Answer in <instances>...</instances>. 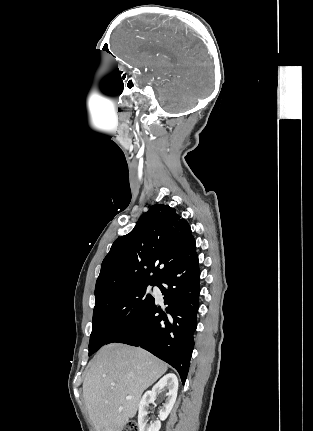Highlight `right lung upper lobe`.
I'll return each mask as SVG.
<instances>
[{
	"instance_id": "obj_1",
	"label": "right lung upper lobe",
	"mask_w": 313,
	"mask_h": 431,
	"mask_svg": "<svg viewBox=\"0 0 313 431\" xmlns=\"http://www.w3.org/2000/svg\"><path fill=\"white\" fill-rule=\"evenodd\" d=\"M193 239L190 225L174 208L153 205L113 243L96 281L95 301L132 286L158 284Z\"/></svg>"
}]
</instances>
